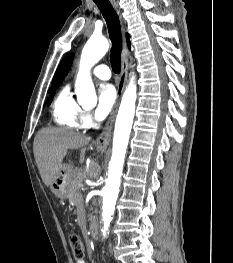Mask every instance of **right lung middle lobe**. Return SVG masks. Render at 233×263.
I'll list each match as a JSON object with an SVG mask.
<instances>
[{
  "instance_id": "right-lung-middle-lobe-1",
  "label": "right lung middle lobe",
  "mask_w": 233,
  "mask_h": 263,
  "mask_svg": "<svg viewBox=\"0 0 233 263\" xmlns=\"http://www.w3.org/2000/svg\"><path fill=\"white\" fill-rule=\"evenodd\" d=\"M57 88H58V87L51 88V89L48 90V92L51 93V95H50L51 97L54 96V94H55V89H57ZM51 101H52V99L49 101V104L51 103Z\"/></svg>"
}]
</instances>
